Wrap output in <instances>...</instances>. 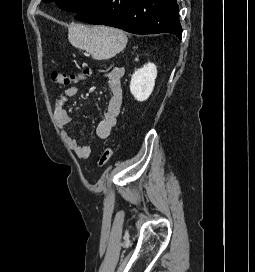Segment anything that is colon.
<instances>
[{"label":"colon","instance_id":"obj_1","mask_svg":"<svg viewBox=\"0 0 255 272\" xmlns=\"http://www.w3.org/2000/svg\"><path fill=\"white\" fill-rule=\"evenodd\" d=\"M92 74V69L85 68L80 73L67 75L64 72L54 70L51 73L52 81L60 86H68L72 83H77L82 81ZM113 156V148L111 146H107L103 152L101 153L98 159V166L100 168L106 166Z\"/></svg>","mask_w":255,"mask_h":272}]
</instances>
